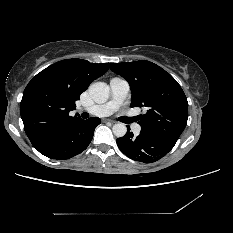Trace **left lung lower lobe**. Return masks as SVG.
<instances>
[{
    "mask_svg": "<svg viewBox=\"0 0 233 233\" xmlns=\"http://www.w3.org/2000/svg\"><path fill=\"white\" fill-rule=\"evenodd\" d=\"M119 149L129 158L143 162L152 163L164 157L176 144L177 141L140 132L134 136L128 129L125 136L118 138Z\"/></svg>",
    "mask_w": 233,
    "mask_h": 233,
    "instance_id": "0a47b994",
    "label": "left lung lower lobe"
}]
</instances>
